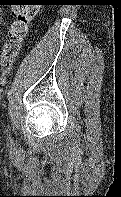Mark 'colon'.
I'll list each match as a JSON object with an SVG mask.
<instances>
[{"label":"colon","instance_id":"colon-1","mask_svg":"<svg viewBox=\"0 0 121 197\" xmlns=\"http://www.w3.org/2000/svg\"><path fill=\"white\" fill-rule=\"evenodd\" d=\"M35 2V0H12L11 10L14 20L9 26L7 38L2 48L0 83H4L28 33V24L37 13L38 6Z\"/></svg>","mask_w":121,"mask_h":197}]
</instances>
